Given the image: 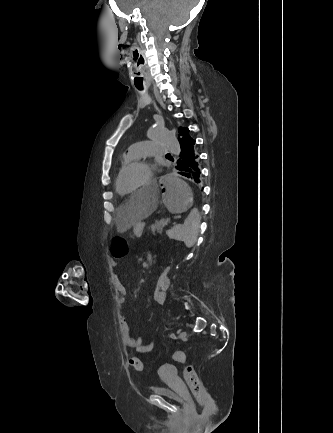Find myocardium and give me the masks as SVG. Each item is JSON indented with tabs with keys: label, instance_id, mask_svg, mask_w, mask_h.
Segmentation results:
<instances>
[{
	"label": "myocardium",
	"instance_id": "f54148a6",
	"mask_svg": "<svg viewBox=\"0 0 333 433\" xmlns=\"http://www.w3.org/2000/svg\"><path fill=\"white\" fill-rule=\"evenodd\" d=\"M137 166H148L151 168V164L149 161L145 160V159H137L134 160L132 162H130L128 165H126L122 171L120 172L117 181H116V186H117V190L120 194L124 195V196H128V195H132L135 194L137 191H139L140 189L146 188L151 184V175H149V177L147 178V180L142 183L138 188L132 190V191H123L121 188V180L123 178V176L131 169L137 167Z\"/></svg>",
	"mask_w": 333,
	"mask_h": 433
}]
</instances>
